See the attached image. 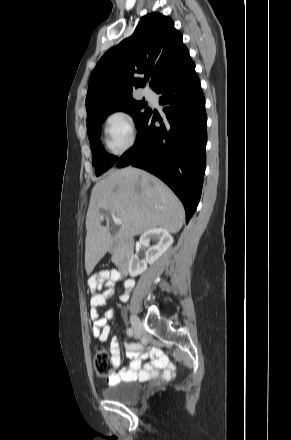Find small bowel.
Returning <instances> with one entry per match:
<instances>
[{"label":"small bowel","instance_id":"obj_1","mask_svg":"<svg viewBox=\"0 0 291 440\" xmlns=\"http://www.w3.org/2000/svg\"><path fill=\"white\" fill-rule=\"evenodd\" d=\"M120 280L121 275L117 271H103L95 277H91L87 282L91 293L89 316L93 320L92 334L100 342H105L108 339L112 327L107 324V320H113L114 315L111 311H107L104 316H101L98 309L112 296L111 288ZM133 287V281L125 282L120 299L123 301L128 300ZM102 288H105V290L101 293L100 290ZM127 350L129 361L122 365L119 341L116 337L112 338L110 343V364L113 371L107 376V383L110 386L117 385L122 381H133L138 377L141 379L150 377L165 378L172 375L174 365L158 348L151 350L157 354V357L147 363L144 368H141V361L146 350L140 349L139 352H134V346L131 344H127Z\"/></svg>","mask_w":291,"mask_h":440}]
</instances>
